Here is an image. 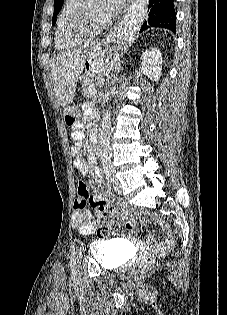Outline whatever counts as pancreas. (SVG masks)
<instances>
[{"mask_svg": "<svg viewBox=\"0 0 227 315\" xmlns=\"http://www.w3.org/2000/svg\"><path fill=\"white\" fill-rule=\"evenodd\" d=\"M95 88L94 78L92 75L82 77V94L85 97H91V89Z\"/></svg>", "mask_w": 227, "mask_h": 315, "instance_id": "cf45deb5", "label": "pancreas"}]
</instances>
